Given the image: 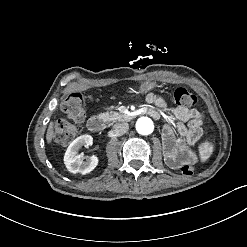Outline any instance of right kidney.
Instances as JSON below:
<instances>
[{"mask_svg": "<svg viewBox=\"0 0 247 247\" xmlns=\"http://www.w3.org/2000/svg\"><path fill=\"white\" fill-rule=\"evenodd\" d=\"M92 144V137L90 135H81L77 137L67 148L64 155V164L70 173L87 174L92 172L99 163V158L96 155L91 156L87 161H81V154H79L82 146L88 147Z\"/></svg>", "mask_w": 247, "mask_h": 247, "instance_id": "right-kidney-1", "label": "right kidney"}]
</instances>
